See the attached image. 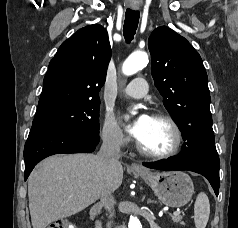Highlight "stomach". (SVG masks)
Returning <instances> with one entry per match:
<instances>
[{
    "label": "stomach",
    "mask_w": 238,
    "mask_h": 228,
    "mask_svg": "<svg viewBox=\"0 0 238 228\" xmlns=\"http://www.w3.org/2000/svg\"><path fill=\"white\" fill-rule=\"evenodd\" d=\"M154 191L159 200L169 207H182L192 198L194 186L191 178L181 171H134Z\"/></svg>",
    "instance_id": "0dacf381"
}]
</instances>
